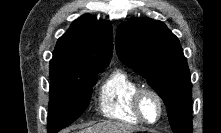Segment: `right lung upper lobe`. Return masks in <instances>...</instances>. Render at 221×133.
<instances>
[{"mask_svg": "<svg viewBox=\"0 0 221 133\" xmlns=\"http://www.w3.org/2000/svg\"><path fill=\"white\" fill-rule=\"evenodd\" d=\"M112 26L108 21H97L89 14L75 20L59 38L50 61V74L74 67L109 63L113 51Z\"/></svg>", "mask_w": 221, "mask_h": 133, "instance_id": "1", "label": "right lung upper lobe"}]
</instances>
